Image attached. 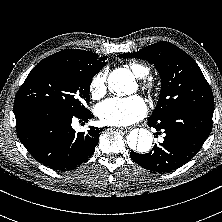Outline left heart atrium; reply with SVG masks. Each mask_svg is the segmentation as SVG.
I'll return each mask as SVG.
<instances>
[{"instance_id": "1", "label": "left heart atrium", "mask_w": 222, "mask_h": 222, "mask_svg": "<svg viewBox=\"0 0 222 222\" xmlns=\"http://www.w3.org/2000/svg\"><path fill=\"white\" fill-rule=\"evenodd\" d=\"M147 113L145 101L138 95L109 98L96 107V114L106 125L127 126L141 120Z\"/></svg>"}]
</instances>
